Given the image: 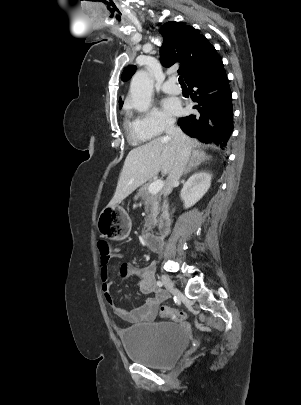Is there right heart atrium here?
Here are the masks:
<instances>
[{
  "label": "right heart atrium",
  "mask_w": 301,
  "mask_h": 405,
  "mask_svg": "<svg viewBox=\"0 0 301 405\" xmlns=\"http://www.w3.org/2000/svg\"><path fill=\"white\" fill-rule=\"evenodd\" d=\"M138 118L140 125L152 136L160 135L174 124V119L168 113L153 107Z\"/></svg>",
  "instance_id": "1"
}]
</instances>
